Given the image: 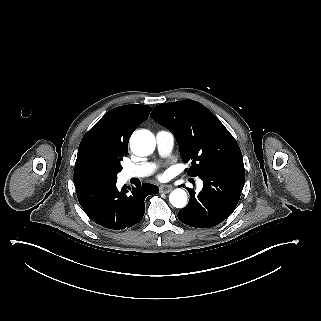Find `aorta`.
<instances>
[{
  "label": "aorta",
  "mask_w": 321,
  "mask_h": 321,
  "mask_svg": "<svg viewBox=\"0 0 321 321\" xmlns=\"http://www.w3.org/2000/svg\"><path fill=\"white\" fill-rule=\"evenodd\" d=\"M156 146L154 135L148 130L134 132L130 139V148L138 156L151 154ZM170 203L176 208H183L187 203V194L183 189L177 188L169 195Z\"/></svg>",
  "instance_id": "obj_1"
}]
</instances>
